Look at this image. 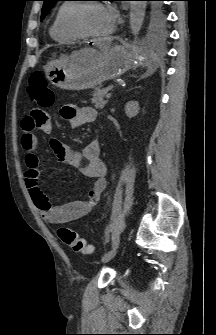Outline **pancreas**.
Instances as JSON below:
<instances>
[{
	"mask_svg": "<svg viewBox=\"0 0 216 335\" xmlns=\"http://www.w3.org/2000/svg\"><path fill=\"white\" fill-rule=\"evenodd\" d=\"M109 88H104V89H97L93 92L92 94V104H94V106L97 109H103L105 104L107 103V100H104V97L106 96V94L108 93Z\"/></svg>",
	"mask_w": 216,
	"mask_h": 335,
	"instance_id": "obj_1",
	"label": "pancreas"
}]
</instances>
